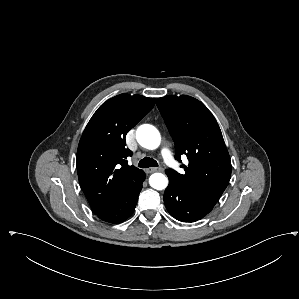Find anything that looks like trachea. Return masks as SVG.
I'll list each match as a JSON object with an SVG mask.
<instances>
[{"label":"trachea","instance_id":"3493384b","mask_svg":"<svg viewBox=\"0 0 299 299\" xmlns=\"http://www.w3.org/2000/svg\"><path fill=\"white\" fill-rule=\"evenodd\" d=\"M138 166L140 168L158 167V163L153 158L145 157L140 160Z\"/></svg>","mask_w":299,"mask_h":299}]
</instances>
